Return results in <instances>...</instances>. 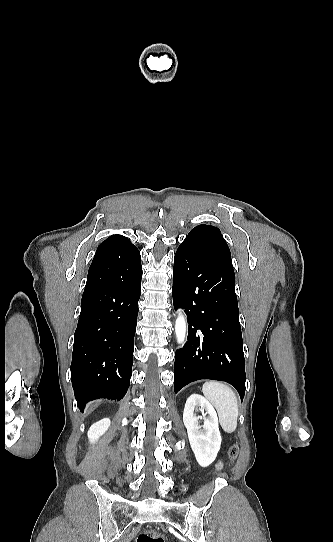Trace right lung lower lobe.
Here are the masks:
<instances>
[{"label":"right lung lower lobe","instance_id":"obj_1","mask_svg":"<svg viewBox=\"0 0 333 542\" xmlns=\"http://www.w3.org/2000/svg\"><path fill=\"white\" fill-rule=\"evenodd\" d=\"M141 278L140 252L128 239L98 247L74 334L71 380L81 410L96 398L120 400L128 390Z\"/></svg>","mask_w":333,"mask_h":542}]
</instances>
